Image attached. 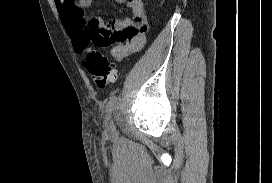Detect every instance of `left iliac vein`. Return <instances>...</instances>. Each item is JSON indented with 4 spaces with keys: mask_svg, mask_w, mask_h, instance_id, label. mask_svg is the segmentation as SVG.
<instances>
[{
    "mask_svg": "<svg viewBox=\"0 0 272 183\" xmlns=\"http://www.w3.org/2000/svg\"><path fill=\"white\" fill-rule=\"evenodd\" d=\"M106 121H107V129L111 132L115 131V125L113 123V121H111V113H109L106 117Z\"/></svg>",
    "mask_w": 272,
    "mask_h": 183,
    "instance_id": "obj_1",
    "label": "left iliac vein"
}]
</instances>
